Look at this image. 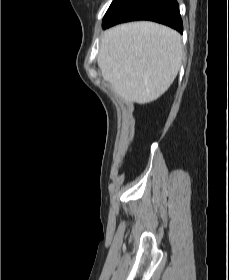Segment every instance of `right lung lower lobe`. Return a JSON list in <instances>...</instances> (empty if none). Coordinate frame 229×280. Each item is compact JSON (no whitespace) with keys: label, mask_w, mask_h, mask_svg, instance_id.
I'll return each instance as SVG.
<instances>
[{"label":"right lung lower lobe","mask_w":229,"mask_h":280,"mask_svg":"<svg viewBox=\"0 0 229 280\" xmlns=\"http://www.w3.org/2000/svg\"><path fill=\"white\" fill-rule=\"evenodd\" d=\"M134 20H151L183 32L179 5L176 0H116L104 17L102 28Z\"/></svg>","instance_id":"98d812e1"}]
</instances>
